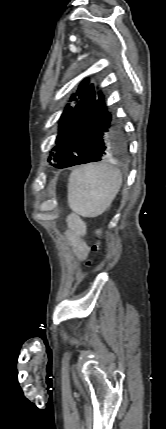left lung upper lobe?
Instances as JSON below:
<instances>
[{
	"label": "left lung upper lobe",
	"mask_w": 166,
	"mask_h": 429,
	"mask_svg": "<svg viewBox=\"0 0 166 429\" xmlns=\"http://www.w3.org/2000/svg\"><path fill=\"white\" fill-rule=\"evenodd\" d=\"M87 85H88V79H85L80 84V86H79L76 94H74L71 97L70 101H78V99L76 97L77 96H78V98L81 97V95L85 91ZM72 110H73V107L67 105V107L65 108V110L63 111V113H62V115H61V117L59 119V133H58V136H57V139H56V146L52 149V151H56V149H57V147H58V145H59V143H60V141L62 139V136L64 134V131H65L66 127H67V124H68L70 115L72 113ZM54 153L55 152H51L50 153V157L48 158V161L51 159V157L54 155Z\"/></svg>",
	"instance_id": "5c2ea615"
}]
</instances>
